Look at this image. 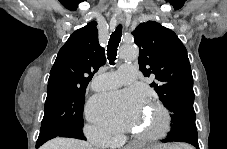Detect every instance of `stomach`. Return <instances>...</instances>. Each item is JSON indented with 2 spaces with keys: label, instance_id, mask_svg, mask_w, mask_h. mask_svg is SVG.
<instances>
[{
  "label": "stomach",
  "instance_id": "1",
  "mask_svg": "<svg viewBox=\"0 0 227 149\" xmlns=\"http://www.w3.org/2000/svg\"><path fill=\"white\" fill-rule=\"evenodd\" d=\"M152 149H174V148H171V147H169V148H166V147H160V148H152Z\"/></svg>",
  "mask_w": 227,
  "mask_h": 149
}]
</instances>
